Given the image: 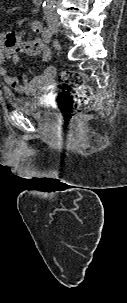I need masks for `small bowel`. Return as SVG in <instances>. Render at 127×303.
Masks as SVG:
<instances>
[{
	"label": "small bowel",
	"mask_w": 127,
	"mask_h": 303,
	"mask_svg": "<svg viewBox=\"0 0 127 303\" xmlns=\"http://www.w3.org/2000/svg\"><path fill=\"white\" fill-rule=\"evenodd\" d=\"M39 1L33 0L35 4L39 3ZM24 22L25 20L19 19L14 22V25L20 27ZM30 29L39 37L32 40H24L22 33L15 30L0 34V76L7 86L20 94H33L38 88H51L55 74V69L49 66L44 72L37 73L33 79L23 76L22 82H20L16 76L8 73L5 68L4 63L8 59L15 63L18 62L19 51L28 56H39L45 62L51 59V51L43 39L44 28L42 24L38 21H31ZM10 39L15 41H10Z\"/></svg>",
	"instance_id": "c3829d8e"
}]
</instances>
